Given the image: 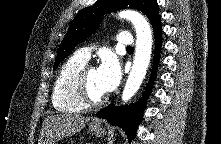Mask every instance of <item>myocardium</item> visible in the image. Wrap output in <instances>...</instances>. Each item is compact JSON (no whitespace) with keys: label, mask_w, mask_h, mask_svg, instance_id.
Listing matches in <instances>:
<instances>
[{"label":"myocardium","mask_w":221,"mask_h":144,"mask_svg":"<svg viewBox=\"0 0 221 144\" xmlns=\"http://www.w3.org/2000/svg\"><path fill=\"white\" fill-rule=\"evenodd\" d=\"M93 66L85 65L77 75L75 88L78 99L87 107L101 105L106 100V94L94 97L88 86V73Z\"/></svg>","instance_id":"1"}]
</instances>
